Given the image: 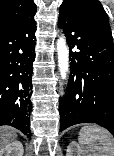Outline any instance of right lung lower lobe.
<instances>
[{
  "mask_svg": "<svg viewBox=\"0 0 114 156\" xmlns=\"http://www.w3.org/2000/svg\"><path fill=\"white\" fill-rule=\"evenodd\" d=\"M34 14L0 30V125L31 136V77L35 59Z\"/></svg>",
  "mask_w": 114,
  "mask_h": 156,
  "instance_id": "right-lung-lower-lobe-1",
  "label": "right lung lower lobe"
}]
</instances>
